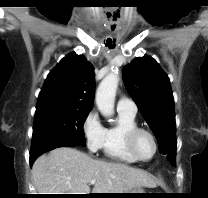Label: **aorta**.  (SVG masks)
Segmentation results:
<instances>
[{
	"label": "aorta",
	"mask_w": 208,
	"mask_h": 198,
	"mask_svg": "<svg viewBox=\"0 0 208 198\" xmlns=\"http://www.w3.org/2000/svg\"><path fill=\"white\" fill-rule=\"evenodd\" d=\"M119 76L117 73H109L100 82L96 91V105L104 117H110L114 113V103Z\"/></svg>",
	"instance_id": "762f6f07"
}]
</instances>
